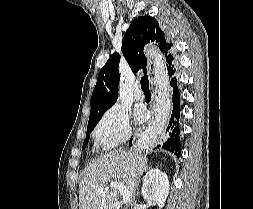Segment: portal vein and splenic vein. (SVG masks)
<instances>
[{"mask_svg": "<svg viewBox=\"0 0 253 209\" xmlns=\"http://www.w3.org/2000/svg\"><path fill=\"white\" fill-rule=\"evenodd\" d=\"M110 187H111V188H115V189H117V190L120 192V194L122 195V198H123V202H124L125 204H127V203H129V202L131 201V199H132V194H131L130 191H128V190L126 189V187H125L123 184L118 183V182H111V183H110ZM105 190H106V188H101V189L98 190V192H99V193H102V192H104Z\"/></svg>", "mask_w": 253, "mask_h": 209, "instance_id": "portal-vein-and-splenic-vein-1", "label": "portal vein and splenic vein"}]
</instances>
